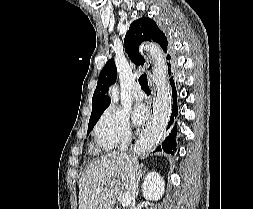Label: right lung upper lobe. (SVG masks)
I'll list each match as a JSON object with an SVG mask.
<instances>
[{
  "label": "right lung upper lobe",
  "instance_id": "cb5924a9",
  "mask_svg": "<svg viewBox=\"0 0 253 209\" xmlns=\"http://www.w3.org/2000/svg\"><path fill=\"white\" fill-rule=\"evenodd\" d=\"M144 41L158 43L163 51L167 53L168 42L164 33L158 28L156 22L150 18H139L134 21L126 33L124 39L125 50L137 66L143 65L145 59L139 53V45ZM170 60V55L167 56ZM170 64L168 65L169 71ZM117 70L114 59H110L99 74L97 87L92 98V113L90 119L100 117L104 110L110 105L108 90L111 84L116 81Z\"/></svg>",
  "mask_w": 253,
  "mask_h": 209
}]
</instances>
